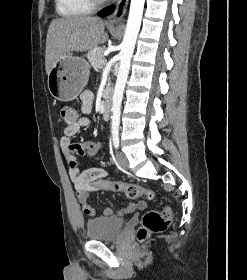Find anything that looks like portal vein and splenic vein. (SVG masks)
I'll return each instance as SVG.
<instances>
[{
    "label": "portal vein and splenic vein",
    "instance_id": "obj_1",
    "mask_svg": "<svg viewBox=\"0 0 247 280\" xmlns=\"http://www.w3.org/2000/svg\"><path fill=\"white\" fill-rule=\"evenodd\" d=\"M105 63H106V60H103V61H102V65H105Z\"/></svg>",
    "mask_w": 247,
    "mask_h": 280
}]
</instances>
